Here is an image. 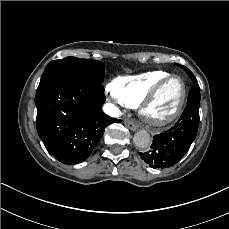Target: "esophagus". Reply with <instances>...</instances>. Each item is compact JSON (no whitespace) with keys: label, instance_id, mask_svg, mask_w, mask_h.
Returning a JSON list of instances; mask_svg holds the SVG:
<instances>
[{"label":"esophagus","instance_id":"1","mask_svg":"<svg viewBox=\"0 0 229 229\" xmlns=\"http://www.w3.org/2000/svg\"><path fill=\"white\" fill-rule=\"evenodd\" d=\"M124 124L128 129L132 131H135L137 129V125L134 122H132L131 120H127V119L124 120Z\"/></svg>","mask_w":229,"mask_h":229}]
</instances>
